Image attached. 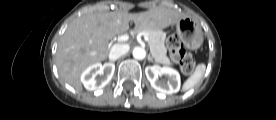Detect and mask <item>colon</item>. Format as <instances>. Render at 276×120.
<instances>
[{
    "label": "colon",
    "mask_w": 276,
    "mask_h": 120,
    "mask_svg": "<svg viewBox=\"0 0 276 120\" xmlns=\"http://www.w3.org/2000/svg\"><path fill=\"white\" fill-rule=\"evenodd\" d=\"M167 47L172 59L180 66L184 74H191L195 67V62L190 53L184 48L177 34H171L167 39Z\"/></svg>",
    "instance_id": "5ec220e1"
}]
</instances>
